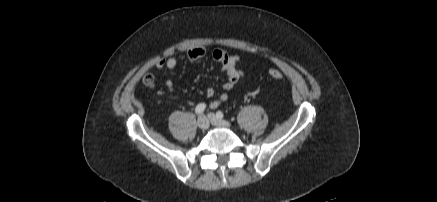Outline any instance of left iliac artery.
Returning <instances> with one entry per match:
<instances>
[{
    "label": "left iliac artery",
    "mask_w": 437,
    "mask_h": 202,
    "mask_svg": "<svg viewBox=\"0 0 437 202\" xmlns=\"http://www.w3.org/2000/svg\"><path fill=\"white\" fill-rule=\"evenodd\" d=\"M216 117L219 118V119H222L224 117V115H223V113L221 111H218L216 113Z\"/></svg>",
    "instance_id": "left-iliac-artery-1"
}]
</instances>
